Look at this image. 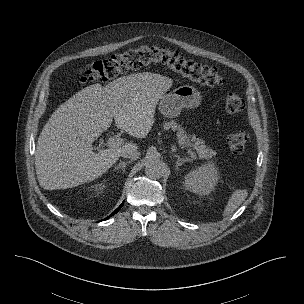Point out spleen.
<instances>
[{
    "label": "spleen",
    "mask_w": 304,
    "mask_h": 304,
    "mask_svg": "<svg viewBox=\"0 0 304 304\" xmlns=\"http://www.w3.org/2000/svg\"><path fill=\"white\" fill-rule=\"evenodd\" d=\"M248 192L246 189H237L230 196L227 205L223 210V216L232 214L247 198Z\"/></svg>",
    "instance_id": "3e777b00"
}]
</instances>
